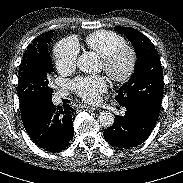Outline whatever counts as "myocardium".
<instances>
[{
	"instance_id": "myocardium-1",
	"label": "myocardium",
	"mask_w": 183,
	"mask_h": 183,
	"mask_svg": "<svg viewBox=\"0 0 183 183\" xmlns=\"http://www.w3.org/2000/svg\"><path fill=\"white\" fill-rule=\"evenodd\" d=\"M127 59L124 69H118V63L122 58ZM138 56L131 46H121L102 58L103 69L116 83H125L134 75L137 67Z\"/></svg>"
}]
</instances>
